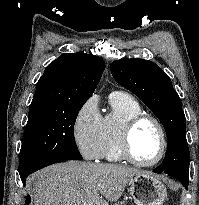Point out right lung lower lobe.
Segmentation results:
<instances>
[{
	"mask_svg": "<svg viewBox=\"0 0 199 205\" xmlns=\"http://www.w3.org/2000/svg\"><path fill=\"white\" fill-rule=\"evenodd\" d=\"M65 161H67V160H66V159H54V160H50V161H48V162H45V163L41 164L40 166H37V167H35V168L29 170L28 172H26V173L20 175L21 180H22V183L25 185V180H26L27 176L30 175L31 173H33V172H35V171H37V170H39V169H42V168H44V167H46V166H49V165H51V164L60 163V162H65Z\"/></svg>",
	"mask_w": 199,
	"mask_h": 205,
	"instance_id": "1",
	"label": "right lung lower lobe"
}]
</instances>
